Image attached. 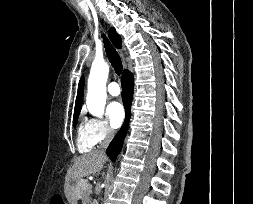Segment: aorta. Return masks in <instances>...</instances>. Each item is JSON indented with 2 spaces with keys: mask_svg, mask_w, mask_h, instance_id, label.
<instances>
[{
  "mask_svg": "<svg viewBox=\"0 0 253 204\" xmlns=\"http://www.w3.org/2000/svg\"><path fill=\"white\" fill-rule=\"evenodd\" d=\"M108 73L109 66L105 62H94L90 70L86 104L89 112L97 117L104 114Z\"/></svg>",
  "mask_w": 253,
  "mask_h": 204,
  "instance_id": "aorta-1",
  "label": "aorta"
}]
</instances>
